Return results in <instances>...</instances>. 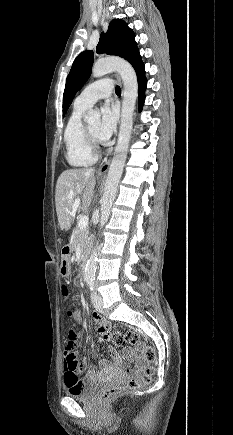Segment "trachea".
I'll use <instances>...</instances> for the list:
<instances>
[{"mask_svg": "<svg viewBox=\"0 0 233 435\" xmlns=\"http://www.w3.org/2000/svg\"><path fill=\"white\" fill-rule=\"evenodd\" d=\"M115 92H116V93H121V88H120L119 86H116V88H115Z\"/></svg>", "mask_w": 233, "mask_h": 435, "instance_id": "1", "label": "trachea"}]
</instances>
